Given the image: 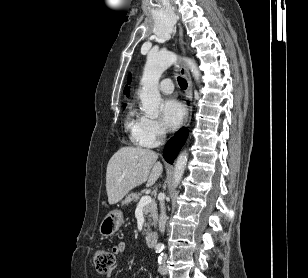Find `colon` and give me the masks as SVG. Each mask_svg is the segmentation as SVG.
<instances>
[{
    "label": "colon",
    "instance_id": "1",
    "mask_svg": "<svg viewBox=\"0 0 308 278\" xmlns=\"http://www.w3.org/2000/svg\"><path fill=\"white\" fill-rule=\"evenodd\" d=\"M93 263L100 273H109L115 263V255L109 249L99 248L93 254Z\"/></svg>",
    "mask_w": 308,
    "mask_h": 278
}]
</instances>
